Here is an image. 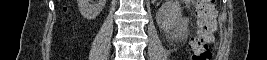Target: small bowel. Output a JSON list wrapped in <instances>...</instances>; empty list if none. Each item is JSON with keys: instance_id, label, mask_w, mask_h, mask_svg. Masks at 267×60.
I'll return each instance as SVG.
<instances>
[{"instance_id": "c3829d8e", "label": "small bowel", "mask_w": 267, "mask_h": 60, "mask_svg": "<svg viewBox=\"0 0 267 60\" xmlns=\"http://www.w3.org/2000/svg\"><path fill=\"white\" fill-rule=\"evenodd\" d=\"M215 30V25L213 26L212 30L210 31L209 38H210V43L215 45V39L213 37V31Z\"/></svg>"}]
</instances>
